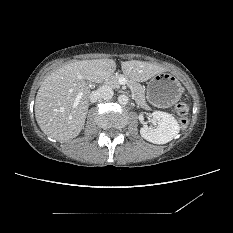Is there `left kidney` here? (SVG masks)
Instances as JSON below:
<instances>
[{
  "instance_id": "1",
  "label": "left kidney",
  "mask_w": 233,
  "mask_h": 233,
  "mask_svg": "<svg viewBox=\"0 0 233 233\" xmlns=\"http://www.w3.org/2000/svg\"><path fill=\"white\" fill-rule=\"evenodd\" d=\"M152 116L158 125L156 128L142 127L140 134L144 139L154 144H166L178 135L180 127L171 114L154 111Z\"/></svg>"
}]
</instances>
